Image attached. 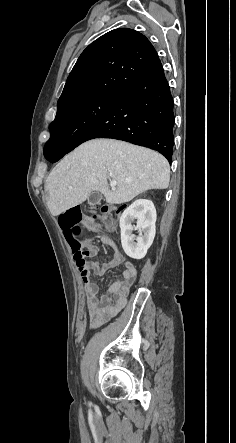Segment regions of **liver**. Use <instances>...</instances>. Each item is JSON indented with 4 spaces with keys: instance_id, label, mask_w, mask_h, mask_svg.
<instances>
[{
    "instance_id": "liver-1",
    "label": "liver",
    "mask_w": 236,
    "mask_h": 443,
    "mask_svg": "<svg viewBox=\"0 0 236 443\" xmlns=\"http://www.w3.org/2000/svg\"><path fill=\"white\" fill-rule=\"evenodd\" d=\"M108 179L116 181L110 190ZM168 161L153 150L114 139H94L65 156L47 178L53 216L101 192L108 204H122L151 189L169 186Z\"/></svg>"
}]
</instances>
